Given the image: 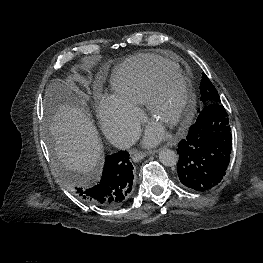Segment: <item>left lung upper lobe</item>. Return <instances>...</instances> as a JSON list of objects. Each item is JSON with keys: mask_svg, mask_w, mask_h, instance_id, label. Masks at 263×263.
I'll use <instances>...</instances> for the list:
<instances>
[{"mask_svg": "<svg viewBox=\"0 0 263 263\" xmlns=\"http://www.w3.org/2000/svg\"><path fill=\"white\" fill-rule=\"evenodd\" d=\"M200 91L201 101L204 104L203 107L200 109V112L210 104H219L221 102L217 90L204 73L202 74Z\"/></svg>", "mask_w": 263, "mask_h": 263, "instance_id": "left-lung-upper-lobe-1", "label": "left lung upper lobe"}]
</instances>
